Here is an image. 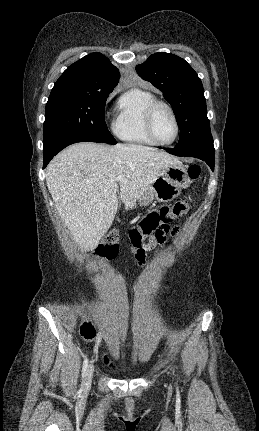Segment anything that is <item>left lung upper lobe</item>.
<instances>
[{
    "instance_id": "obj_1",
    "label": "left lung upper lobe",
    "mask_w": 259,
    "mask_h": 431,
    "mask_svg": "<svg viewBox=\"0 0 259 431\" xmlns=\"http://www.w3.org/2000/svg\"><path fill=\"white\" fill-rule=\"evenodd\" d=\"M136 71L160 89L171 104L180 128L178 146H213L202 82L184 59L155 53L137 65Z\"/></svg>"
}]
</instances>
